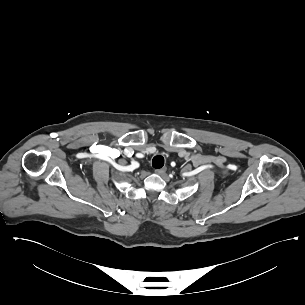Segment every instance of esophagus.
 Masks as SVG:
<instances>
[{"mask_svg":"<svg viewBox=\"0 0 305 305\" xmlns=\"http://www.w3.org/2000/svg\"><path fill=\"white\" fill-rule=\"evenodd\" d=\"M166 171H167V168H166V167H163V168H161V169H156V170H155V173H156V174H164Z\"/></svg>","mask_w":305,"mask_h":305,"instance_id":"34e87169","label":"esophagus"}]
</instances>
